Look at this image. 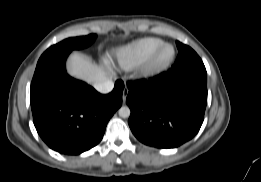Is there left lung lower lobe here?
Instances as JSON below:
<instances>
[{"mask_svg":"<svg viewBox=\"0 0 261 182\" xmlns=\"http://www.w3.org/2000/svg\"><path fill=\"white\" fill-rule=\"evenodd\" d=\"M130 129L142 143L175 148L199 131L207 105L205 68L164 72L128 84Z\"/></svg>","mask_w":261,"mask_h":182,"instance_id":"1","label":"left lung lower lobe"}]
</instances>
